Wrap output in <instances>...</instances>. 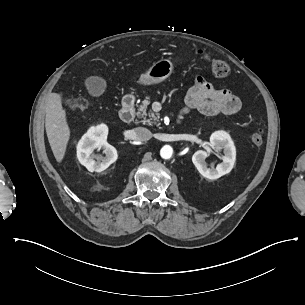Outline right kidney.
<instances>
[{"label":"right kidney","instance_id":"obj_1","mask_svg":"<svg viewBox=\"0 0 305 305\" xmlns=\"http://www.w3.org/2000/svg\"><path fill=\"white\" fill-rule=\"evenodd\" d=\"M107 132L106 125L93 127V129L88 130L77 144V158L90 172L104 171L118 158L117 150L105 142ZM97 147L104 148L105 156L93 153V149Z\"/></svg>","mask_w":305,"mask_h":305}]
</instances>
